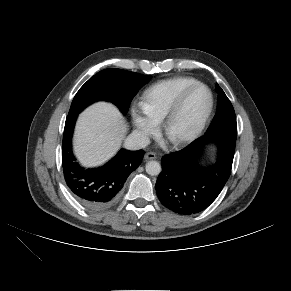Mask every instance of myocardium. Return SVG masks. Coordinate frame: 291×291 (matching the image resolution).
Listing matches in <instances>:
<instances>
[{
	"instance_id": "myocardium-1",
	"label": "myocardium",
	"mask_w": 291,
	"mask_h": 291,
	"mask_svg": "<svg viewBox=\"0 0 291 291\" xmlns=\"http://www.w3.org/2000/svg\"><path fill=\"white\" fill-rule=\"evenodd\" d=\"M198 88H204L209 94V104H208V107H207L205 113L203 114L201 120L199 121V123L195 127V129L192 132H190L188 135L180 137V138H174V139L169 138L168 134H169V129H170L172 121L174 120V118L176 117V115L178 114L180 109L182 108L187 97L194 90H196ZM213 107H214L213 92L206 84L198 82L194 85L189 86L178 96V98L175 100V102L173 103V105L170 107L167 114L163 118L162 131H163L164 135L172 142L173 145H175L177 147H184V146L190 144L196 138H198L199 135L204 130V128H205V126H206V124L211 116V113L213 111Z\"/></svg>"
}]
</instances>
